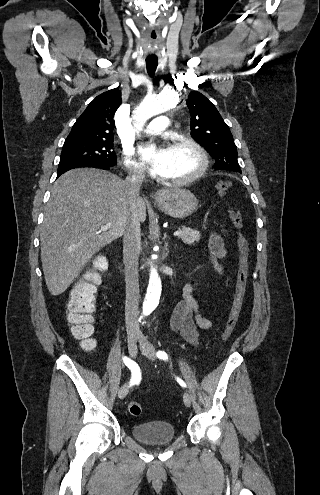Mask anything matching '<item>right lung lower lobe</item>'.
<instances>
[{"label":"right lung lower lobe","mask_w":320,"mask_h":495,"mask_svg":"<svg viewBox=\"0 0 320 495\" xmlns=\"http://www.w3.org/2000/svg\"><path fill=\"white\" fill-rule=\"evenodd\" d=\"M83 167H95V168H100V169H104V170H109L111 167L113 166H108V165H104V164H90V165H87V166H83ZM78 168V167H77ZM64 172H60L57 174V177H59L61 174H63Z\"/></svg>","instance_id":"right-lung-lower-lobe-1"}]
</instances>
